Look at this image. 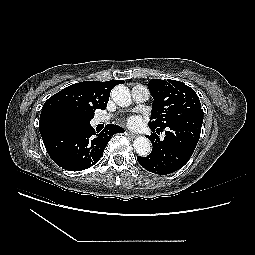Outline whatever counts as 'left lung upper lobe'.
Masks as SVG:
<instances>
[{
  "label": "left lung upper lobe",
  "mask_w": 255,
  "mask_h": 255,
  "mask_svg": "<svg viewBox=\"0 0 255 255\" xmlns=\"http://www.w3.org/2000/svg\"><path fill=\"white\" fill-rule=\"evenodd\" d=\"M148 88L154 99L150 123L155 127L166 128L203 113L195 91L180 81L151 79Z\"/></svg>",
  "instance_id": "1"
}]
</instances>
